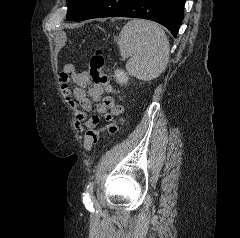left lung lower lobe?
I'll return each mask as SVG.
<instances>
[{"instance_id": "1", "label": "left lung lower lobe", "mask_w": 240, "mask_h": 238, "mask_svg": "<svg viewBox=\"0 0 240 238\" xmlns=\"http://www.w3.org/2000/svg\"><path fill=\"white\" fill-rule=\"evenodd\" d=\"M184 4L185 0H91L73 21L100 17L143 18L162 24L177 37Z\"/></svg>"}]
</instances>
